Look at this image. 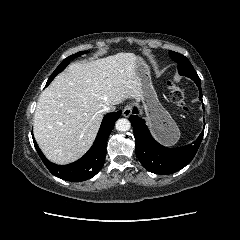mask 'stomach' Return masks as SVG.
<instances>
[{
    "label": "stomach",
    "instance_id": "stomach-1",
    "mask_svg": "<svg viewBox=\"0 0 240 240\" xmlns=\"http://www.w3.org/2000/svg\"><path fill=\"white\" fill-rule=\"evenodd\" d=\"M136 76L141 84L143 107L153 135L164 144L174 145L180 138V130L160 104L152 85L149 67L140 57H137Z\"/></svg>",
    "mask_w": 240,
    "mask_h": 240
}]
</instances>
